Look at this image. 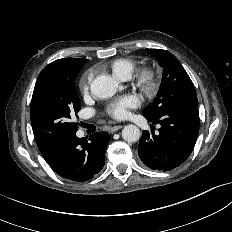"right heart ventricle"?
<instances>
[{"mask_svg":"<svg viewBox=\"0 0 232 232\" xmlns=\"http://www.w3.org/2000/svg\"><path fill=\"white\" fill-rule=\"evenodd\" d=\"M137 61L132 58H118L109 64L114 77L121 80L128 79L136 69Z\"/></svg>","mask_w":232,"mask_h":232,"instance_id":"e07e8e85","label":"right heart ventricle"}]
</instances>
